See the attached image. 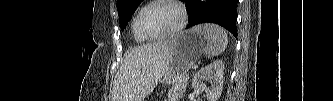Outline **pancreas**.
<instances>
[{
	"instance_id": "obj_1",
	"label": "pancreas",
	"mask_w": 333,
	"mask_h": 101,
	"mask_svg": "<svg viewBox=\"0 0 333 101\" xmlns=\"http://www.w3.org/2000/svg\"><path fill=\"white\" fill-rule=\"evenodd\" d=\"M188 80L189 75L182 76L169 90L167 101H179L186 90Z\"/></svg>"
}]
</instances>
